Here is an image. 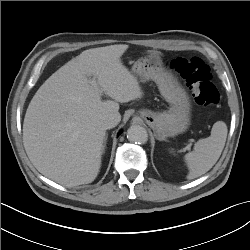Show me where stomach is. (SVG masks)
I'll return each instance as SVG.
<instances>
[{
  "label": "stomach",
  "instance_id": "obj_1",
  "mask_svg": "<svg viewBox=\"0 0 250 250\" xmlns=\"http://www.w3.org/2000/svg\"><path fill=\"white\" fill-rule=\"evenodd\" d=\"M132 72L141 81L154 80L160 94L170 104L169 110L164 112L148 109L139 111L140 117L153 129L156 138L165 140L185 132L191 120L190 100L186 91L164 69L160 54L154 52L139 58L134 63Z\"/></svg>",
  "mask_w": 250,
  "mask_h": 250
}]
</instances>
